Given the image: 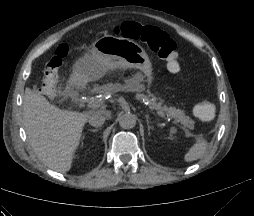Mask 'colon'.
Here are the masks:
<instances>
[{"instance_id":"5ec220e1","label":"colon","mask_w":254,"mask_h":216,"mask_svg":"<svg viewBox=\"0 0 254 216\" xmlns=\"http://www.w3.org/2000/svg\"><path fill=\"white\" fill-rule=\"evenodd\" d=\"M114 32L117 35L144 43L152 52L168 61L170 70L177 71L179 69L180 58L176 50V43L163 30L140 23L125 22L116 26ZM68 53V45L61 44L48 60L40 88L41 91L46 93L55 91L59 67ZM193 112L199 120L208 122L213 120L215 116V106L210 101H201L195 105Z\"/></svg>"}]
</instances>
